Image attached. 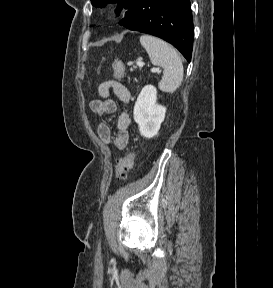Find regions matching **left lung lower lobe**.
<instances>
[{
	"instance_id": "obj_1",
	"label": "left lung lower lobe",
	"mask_w": 273,
	"mask_h": 288,
	"mask_svg": "<svg viewBox=\"0 0 273 288\" xmlns=\"http://www.w3.org/2000/svg\"><path fill=\"white\" fill-rule=\"evenodd\" d=\"M119 24L164 39L190 62L193 48L190 0H134Z\"/></svg>"
}]
</instances>
